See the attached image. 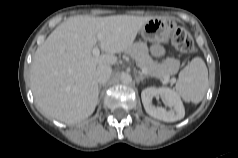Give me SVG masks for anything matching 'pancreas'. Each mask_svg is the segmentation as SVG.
I'll return each instance as SVG.
<instances>
[{
    "label": "pancreas",
    "mask_w": 238,
    "mask_h": 158,
    "mask_svg": "<svg viewBox=\"0 0 238 158\" xmlns=\"http://www.w3.org/2000/svg\"><path fill=\"white\" fill-rule=\"evenodd\" d=\"M126 54L135 59L136 64L141 69L146 68L148 76L161 79L164 83V79L175 73L174 62L158 63L153 60L149 55L148 47L146 43L138 42L133 44L129 49L125 51Z\"/></svg>",
    "instance_id": "pancreas-1"
}]
</instances>
